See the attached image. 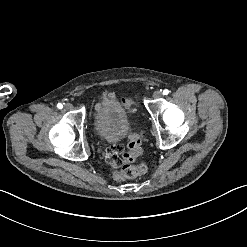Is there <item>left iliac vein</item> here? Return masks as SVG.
I'll list each match as a JSON object with an SVG mask.
<instances>
[{"instance_id": "1", "label": "left iliac vein", "mask_w": 247, "mask_h": 247, "mask_svg": "<svg viewBox=\"0 0 247 247\" xmlns=\"http://www.w3.org/2000/svg\"><path fill=\"white\" fill-rule=\"evenodd\" d=\"M161 96H162V93H161V91H155L154 93H153V95H152V97L154 98V99H159V98H161Z\"/></svg>"}]
</instances>
